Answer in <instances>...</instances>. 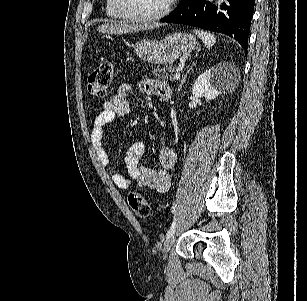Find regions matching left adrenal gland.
<instances>
[{
  "mask_svg": "<svg viewBox=\"0 0 307 301\" xmlns=\"http://www.w3.org/2000/svg\"><path fill=\"white\" fill-rule=\"evenodd\" d=\"M195 64H196V62H193V64H191L190 68H187L184 76H182V80H181V82L179 84V88H182V86H183V84H184V82H185V80L187 78V74H189L190 70H192V68H193V66H195Z\"/></svg>",
  "mask_w": 307,
  "mask_h": 301,
  "instance_id": "1",
  "label": "left adrenal gland"
}]
</instances>
